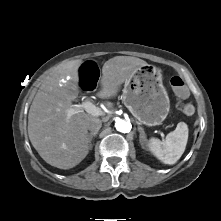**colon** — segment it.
Wrapping results in <instances>:
<instances>
[{"label":"colon","instance_id":"5ec220e1","mask_svg":"<svg viewBox=\"0 0 221 221\" xmlns=\"http://www.w3.org/2000/svg\"><path fill=\"white\" fill-rule=\"evenodd\" d=\"M100 66L96 60L88 59L85 60L81 66L77 69L76 77L77 83L76 88L80 94L88 95L91 94L97 86L96 78L99 75ZM170 85L179 97H186L188 94L184 80L179 76H174L170 79ZM194 106L192 104H185L182 107V113L186 116H191L194 113Z\"/></svg>","mask_w":221,"mask_h":221}]
</instances>
